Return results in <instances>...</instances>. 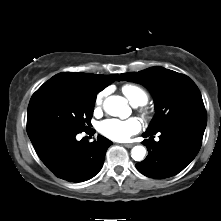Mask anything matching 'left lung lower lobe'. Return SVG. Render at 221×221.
Instances as JSON below:
<instances>
[{"instance_id": "1", "label": "left lung lower lobe", "mask_w": 221, "mask_h": 221, "mask_svg": "<svg viewBox=\"0 0 221 221\" xmlns=\"http://www.w3.org/2000/svg\"><path fill=\"white\" fill-rule=\"evenodd\" d=\"M206 118H184L170 123L159 133L158 142L145 139L148 156L136 164L137 170L150 178H168L181 172L197 155L206 128Z\"/></svg>"}]
</instances>
